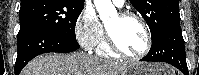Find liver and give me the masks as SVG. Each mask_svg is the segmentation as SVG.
I'll return each instance as SVG.
<instances>
[{"instance_id": "6515ba94", "label": "liver", "mask_w": 199, "mask_h": 75, "mask_svg": "<svg viewBox=\"0 0 199 75\" xmlns=\"http://www.w3.org/2000/svg\"><path fill=\"white\" fill-rule=\"evenodd\" d=\"M129 65L102 61L84 52L43 54L22 70L21 75H124ZM174 72H169V75Z\"/></svg>"}]
</instances>
